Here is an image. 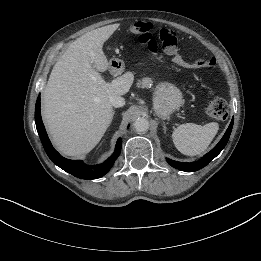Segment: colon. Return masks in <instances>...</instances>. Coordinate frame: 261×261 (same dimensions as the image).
I'll return each instance as SVG.
<instances>
[{
	"mask_svg": "<svg viewBox=\"0 0 261 261\" xmlns=\"http://www.w3.org/2000/svg\"><path fill=\"white\" fill-rule=\"evenodd\" d=\"M151 28L149 23L139 22L132 26V31L137 34L140 43L146 45L151 52H156L158 45L150 33ZM160 40L166 53L172 56L173 61L180 67L200 69L214 65V59L212 57H201L192 62L184 60L178 51L177 37L169 30L163 29L160 31ZM206 113L214 119L225 120L229 114L228 105L224 99L215 98L208 103Z\"/></svg>",
	"mask_w": 261,
	"mask_h": 261,
	"instance_id": "5ec220e1",
	"label": "colon"
}]
</instances>
